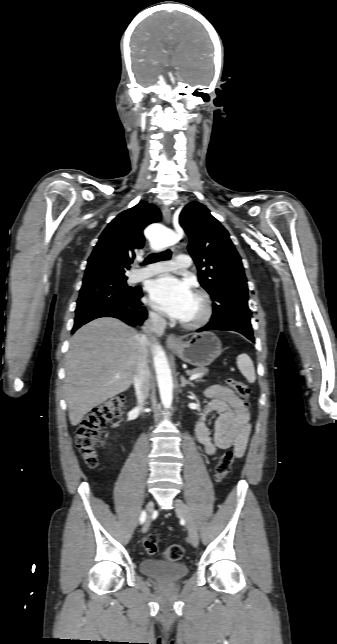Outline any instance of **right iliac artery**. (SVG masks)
I'll return each mask as SVG.
<instances>
[{
	"label": "right iliac artery",
	"instance_id": "82829eb1",
	"mask_svg": "<svg viewBox=\"0 0 337 644\" xmlns=\"http://www.w3.org/2000/svg\"><path fill=\"white\" fill-rule=\"evenodd\" d=\"M145 520H146V512L143 511L140 516V523H144Z\"/></svg>",
	"mask_w": 337,
	"mask_h": 644
}]
</instances>
